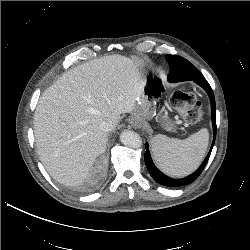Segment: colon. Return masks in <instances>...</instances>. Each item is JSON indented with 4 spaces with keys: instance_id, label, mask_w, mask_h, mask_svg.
<instances>
[{
    "instance_id": "colon-1",
    "label": "colon",
    "mask_w": 250,
    "mask_h": 250,
    "mask_svg": "<svg viewBox=\"0 0 250 250\" xmlns=\"http://www.w3.org/2000/svg\"><path fill=\"white\" fill-rule=\"evenodd\" d=\"M171 103L190 123L199 121L203 115L201 104L191 93L177 91L171 97Z\"/></svg>"
}]
</instances>
